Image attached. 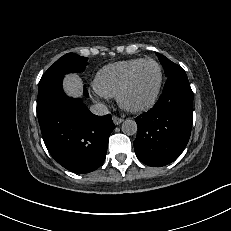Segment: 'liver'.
Returning <instances> with one entry per match:
<instances>
[{"instance_id": "obj_1", "label": "liver", "mask_w": 231, "mask_h": 231, "mask_svg": "<svg viewBox=\"0 0 231 231\" xmlns=\"http://www.w3.org/2000/svg\"><path fill=\"white\" fill-rule=\"evenodd\" d=\"M82 81L78 75L70 74L64 79V90L71 97H80L82 94Z\"/></svg>"}]
</instances>
